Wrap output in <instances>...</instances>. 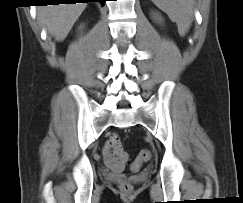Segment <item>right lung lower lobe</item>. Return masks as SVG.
Masks as SVG:
<instances>
[{"label":"right lung lower lobe","mask_w":243,"mask_h":203,"mask_svg":"<svg viewBox=\"0 0 243 203\" xmlns=\"http://www.w3.org/2000/svg\"><path fill=\"white\" fill-rule=\"evenodd\" d=\"M45 1H50V0H42L41 2H39V4H36V5H45V3H44ZM58 1L59 2H56V3H69L70 4V3H76L77 1H84L83 3L100 2L102 5H104L106 0H58Z\"/></svg>","instance_id":"right-lung-lower-lobe-1"}]
</instances>
